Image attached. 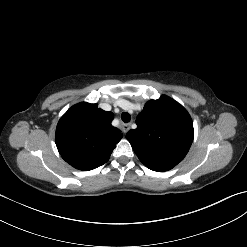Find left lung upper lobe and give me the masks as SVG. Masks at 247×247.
Returning <instances> with one entry per match:
<instances>
[{"mask_svg": "<svg viewBox=\"0 0 247 247\" xmlns=\"http://www.w3.org/2000/svg\"><path fill=\"white\" fill-rule=\"evenodd\" d=\"M137 128L126 138L140 161L149 169H172L188 153L193 141V123L185 108L162 95L150 100L136 119Z\"/></svg>", "mask_w": 247, "mask_h": 247, "instance_id": "1", "label": "left lung upper lobe"}]
</instances>
